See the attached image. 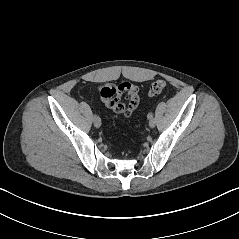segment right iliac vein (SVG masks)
I'll use <instances>...</instances> for the list:
<instances>
[{"label": "right iliac vein", "instance_id": "1", "mask_svg": "<svg viewBox=\"0 0 239 239\" xmlns=\"http://www.w3.org/2000/svg\"><path fill=\"white\" fill-rule=\"evenodd\" d=\"M94 126L99 128L101 126V120L99 117H97L95 120H94Z\"/></svg>", "mask_w": 239, "mask_h": 239}]
</instances>
